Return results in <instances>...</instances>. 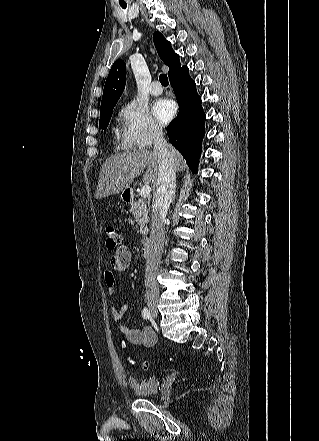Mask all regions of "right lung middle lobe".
<instances>
[{"mask_svg": "<svg viewBox=\"0 0 319 441\" xmlns=\"http://www.w3.org/2000/svg\"><path fill=\"white\" fill-rule=\"evenodd\" d=\"M113 106L100 110L99 128L106 130L112 116Z\"/></svg>", "mask_w": 319, "mask_h": 441, "instance_id": "1", "label": "right lung middle lobe"}]
</instances>
